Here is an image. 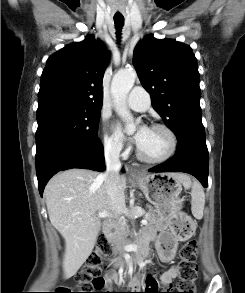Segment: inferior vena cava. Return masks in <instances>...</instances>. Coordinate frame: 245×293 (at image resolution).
I'll list each match as a JSON object with an SVG mask.
<instances>
[{
  "label": "inferior vena cava",
  "instance_id": "obj_1",
  "mask_svg": "<svg viewBox=\"0 0 245 293\" xmlns=\"http://www.w3.org/2000/svg\"><path fill=\"white\" fill-rule=\"evenodd\" d=\"M120 149L114 145L106 146L104 149L106 171L103 174L105 188L108 197L112 201V205L117 207V203H121L118 207L123 211L125 207L124 196L119 186V171L121 163L119 160Z\"/></svg>",
  "mask_w": 245,
  "mask_h": 293
}]
</instances>
